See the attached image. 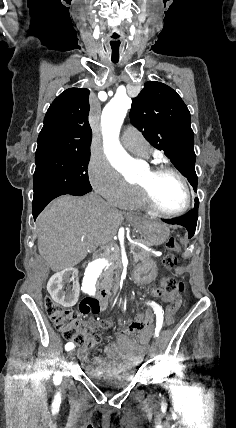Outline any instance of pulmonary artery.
Here are the masks:
<instances>
[{"mask_svg": "<svg viewBox=\"0 0 236 428\" xmlns=\"http://www.w3.org/2000/svg\"><path fill=\"white\" fill-rule=\"evenodd\" d=\"M125 147L129 151H131L133 153H136V154H139V155L146 156L149 153L147 145H137V144L132 143V142H126L125 143Z\"/></svg>", "mask_w": 236, "mask_h": 428, "instance_id": "1", "label": "pulmonary artery"}]
</instances>
